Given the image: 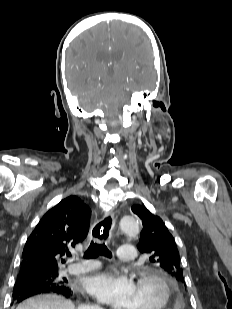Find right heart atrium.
<instances>
[{
  "instance_id": "right-heart-atrium-1",
  "label": "right heart atrium",
  "mask_w": 232,
  "mask_h": 309,
  "mask_svg": "<svg viewBox=\"0 0 232 309\" xmlns=\"http://www.w3.org/2000/svg\"><path fill=\"white\" fill-rule=\"evenodd\" d=\"M94 309H101V308H99V307H95Z\"/></svg>"
}]
</instances>
